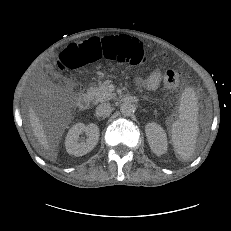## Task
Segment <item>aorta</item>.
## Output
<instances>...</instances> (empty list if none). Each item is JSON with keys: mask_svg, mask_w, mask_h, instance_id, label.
Returning <instances> with one entry per match:
<instances>
[{"mask_svg": "<svg viewBox=\"0 0 231 231\" xmlns=\"http://www.w3.org/2000/svg\"><path fill=\"white\" fill-rule=\"evenodd\" d=\"M120 111L124 116H130L134 112V107L130 103H123L120 106Z\"/></svg>", "mask_w": 231, "mask_h": 231, "instance_id": "1", "label": "aorta"}]
</instances>
